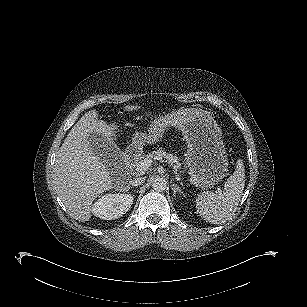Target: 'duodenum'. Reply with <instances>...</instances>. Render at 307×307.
I'll return each mask as SVG.
<instances>
[{"mask_svg":"<svg viewBox=\"0 0 307 307\" xmlns=\"http://www.w3.org/2000/svg\"><path fill=\"white\" fill-rule=\"evenodd\" d=\"M134 155H135L134 152H132V151L128 152V154H127V160H128V161H131L132 158L134 157Z\"/></svg>","mask_w":307,"mask_h":307,"instance_id":"duodenum-1","label":"duodenum"}]
</instances>
